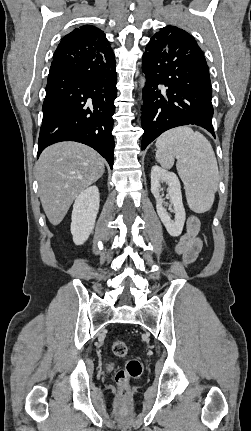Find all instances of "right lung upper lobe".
<instances>
[{
  "instance_id": "1",
  "label": "right lung upper lobe",
  "mask_w": 251,
  "mask_h": 431,
  "mask_svg": "<svg viewBox=\"0 0 251 431\" xmlns=\"http://www.w3.org/2000/svg\"><path fill=\"white\" fill-rule=\"evenodd\" d=\"M87 49L99 52L106 59L114 57V53L103 31L91 25L76 28L64 36L57 48L58 51L66 54H75Z\"/></svg>"
}]
</instances>
